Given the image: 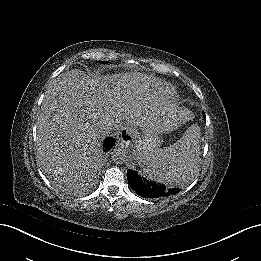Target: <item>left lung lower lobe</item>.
Listing matches in <instances>:
<instances>
[{
	"label": "left lung lower lobe",
	"mask_w": 261,
	"mask_h": 261,
	"mask_svg": "<svg viewBox=\"0 0 261 261\" xmlns=\"http://www.w3.org/2000/svg\"><path fill=\"white\" fill-rule=\"evenodd\" d=\"M188 170V169H187ZM186 177L189 172L185 170ZM184 175V177H185ZM127 179L131 188L140 196L150 199H162L177 194L180 189L166 187L156 182L149 181L141 177L137 172L128 169Z\"/></svg>",
	"instance_id": "0a47b994"
}]
</instances>
